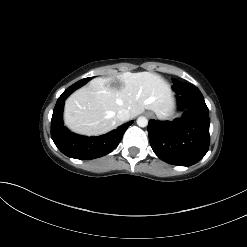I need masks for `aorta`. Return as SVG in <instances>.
Instances as JSON below:
<instances>
[{"instance_id":"aorta-1","label":"aorta","mask_w":247,"mask_h":247,"mask_svg":"<svg viewBox=\"0 0 247 247\" xmlns=\"http://www.w3.org/2000/svg\"><path fill=\"white\" fill-rule=\"evenodd\" d=\"M137 125H138L139 127H146V126L148 125V120H147V118L144 117V116L138 117V119H137Z\"/></svg>"}]
</instances>
